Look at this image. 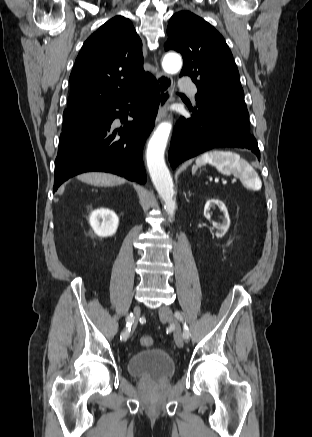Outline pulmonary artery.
Wrapping results in <instances>:
<instances>
[{
	"label": "pulmonary artery",
	"mask_w": 312,
	"mask_h": 437,
	"mask_svg": "<svg viewBox=\"0 0 312 437\" xmlns=\"http://www.w3.org/2000/svg\"><path fill=\"white\" fill-rule=\"evenodd\" d=\"M179 86L182 89L188 90L192 96H195L197 94V89L193 86V84L190 83L189 80L184 77L179 80Z\"/></svg>",
	"instance_id": "1"
}]
</instances>
